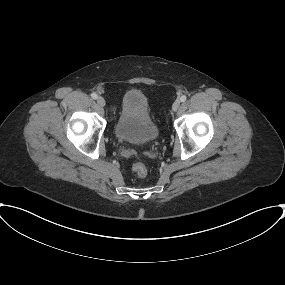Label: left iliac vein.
<instances>
[{
    "mask_svg": "<svg viewBox=\"0 0 285 285\" xmlns=\"http://www.w3.org/2000/svg\"><path fill=\"white\" fill-rule=\"evenodd\" d=\"M179 106H180V101H179V100H176V101L173 103V105H172V110H173V111H177L178 108H179Z\"/></svg>",
    "mask_w": 285,
    "mask_h": 285,
    "instance_id": "4c4485c4",
    "label": "left iliac vein"
}]
</instances>
